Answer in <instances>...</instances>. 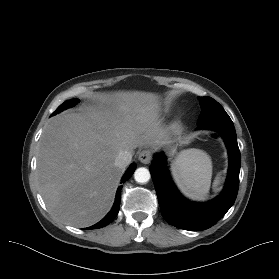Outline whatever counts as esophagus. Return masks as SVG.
Listing matches in <instances>:
<instances>
[{"label": "esophagus", "mask_w": 279, "mask_h": 279, "mask_svg": "<svg viewBox=\"0 0 279 279\" xmlns=\"http://www.w3.org/2000/svg\"><path fill=\"white\" fill-rule=\"evenodd\" d=\"M138 158L141 163L148 164L152 160V152L149 149L142 150Z\"/></svg>", "instance_id": "esophagus-1"}]
</instances>
